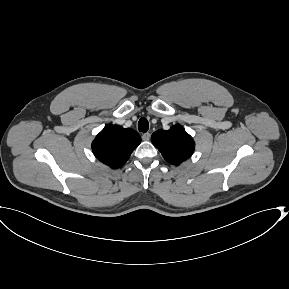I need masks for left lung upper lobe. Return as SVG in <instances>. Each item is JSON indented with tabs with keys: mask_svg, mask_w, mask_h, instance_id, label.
Wrapping results in <instances>:
<instances>
[{
	"mask_svg": "<svg viewBox=\"0 0 289 289\" xmlns=\"http://www.w3.org/2000/svg\"><path fill=\"white\" fill-rule=\"evenodd\" d=\"M151 141L164 159L176 166L188 159L195 147L192 137L180 125L154 132Z\"/></svg>",
	"mask_w": 289,
	"mask_h": 289,
	"instance_id": "1",
	"label": "left lung upper lobe"
}]
</instances>
